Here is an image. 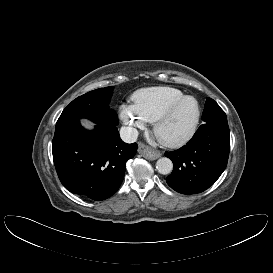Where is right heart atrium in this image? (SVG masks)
Listing matches in <instances>:
<instances>
[{
  "instance_id": "1",
  "label": "right heart atrium",
  "mask_w": 273,
  "mask_h": 273,
  "mask_svg": "<svg viewBox=\"0 0 273 273\" xmlns=\"http://www.w3.org/2000/svg\"><path fill=\"white\" fill-rule=\"evenodd\" d=\"M119 116L126 125L128 135L131 137H135L139 130L146 127L147 121L133 105L122 104L119 107Z\"/></svg>"
}]
</instances>
